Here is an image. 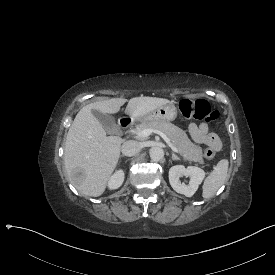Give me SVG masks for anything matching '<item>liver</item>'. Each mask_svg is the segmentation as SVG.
Segmentation results:
<instances>
[{
  "instance_id": "obj_1",
  "label": "liver",
  "mask_w": 275,
  "mask_h": 275,
  "mask_svg": "<svg viewBox=\"0 0 275 275\" xmlns=\"http://www.w3.org/2000/svg\"><path fill=\"white\" fill-rule=\"evenodd\" d=\"M126 101L112 98L87 104L69 128L64 149L65 169L71 183L84 195L98 197L105 191L124 142L119 136H106L105 129L91 111L117 113ZM167 103L170 101L163 98L135 97L128 101L125 113L137 118ZM77 167L84 172L81 179L72 177V171Z\"/></svg>"
}]
</instances>
